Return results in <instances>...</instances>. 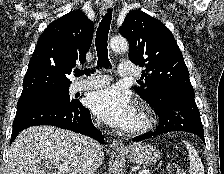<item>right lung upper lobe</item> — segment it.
<instances>
[{"mask_svg": "<svg viewBox=\"0 0 224 174\" xmlns=\"http://www.w3.org/2000/svg\"><path fill=\"white\" fill-rule=\"evenodd\" d=\"M93 31V22L82 11H72L50 23L29 61L22 94L47 85L69 86L73 67L85 62Z\"/></svg>", "mask_w": 224, "mask_h": 174, "instance_id": "cb5924a9", "label": "right lung upper lobe"}]
</instances>
